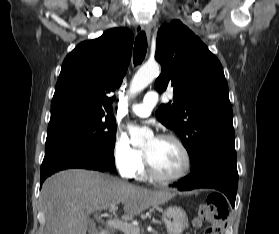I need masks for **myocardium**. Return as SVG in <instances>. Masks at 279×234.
Wrapping results in <instances>:
<instances>
[{
  "instance_id": "obj_1",
  "label": "myocardium",
  "mask_w": 279,
  "mask_h": 234,
  "mask_svg": "<svg viewBox=\"0 0 279 234\" xmlns=\"http://www.w3.org/2000/svg\"><path fill=\"white\" fill-rule=\"evenodd\" d=\"M156 139L168 140V141L174 142L180 148V150L183 154L184 165H183V168L181 169V171L177 175L172 176V177L162 176V175L158 174L156 172V170L154 169L148 153L146 151H143L145 171H146L148 177L158 183L166 184V185L174 184V183L181 181L188 175V173L191 169V165H192L191 154H190L187 146L179 137L172 135V134H162V135H159L158 137H156Z\"/></svg>"
}]
</instances>
